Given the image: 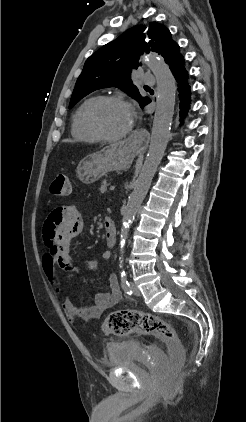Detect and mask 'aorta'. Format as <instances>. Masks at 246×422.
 <instances>
[{"mask_svg":"<svg viewBox=\"0 0 246 422\" xmlns=\"http://www.w3.org/2000/svg\"><path fill=\"white\" fill-rule=\"evenodd\" d=\"M146 65L151 69L157 81L156 111L153 120L150 146L136 179L133 191L129 196L123 218L120 235L121 253L128 231L135 215L148 192L155 172L164 155L171 129L176 96V84L173 75L165 61L155 54L145 58Z\"/></svg>","mask_w":246,"mask_h":422,"instance_id":"762f6f07","label":"aorta"}]
</instances>
